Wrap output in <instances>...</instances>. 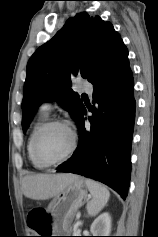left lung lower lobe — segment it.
Listing matches in <instances>:
<instances>
[{
  "mask_svg": "<svg viewBox=\"0 0 158 237\" xmlns=\"http://www.w3.org/2000/svg\"><path fill=\"white\" fill-rule=\"evenodd\" d=\"M90 130L84 127L85 107L77 126L78 148L58 172H71L100 181L126 198L131 174V145L135 121L134 80L129 60L94 85Z\"/></svg>",
  "mask_w": 158,
  "mask_h": 237,
  "instance_id": "left-lung-lower-lobe-1",
  "label": "left lung lower lobe"
}]
</instances>
